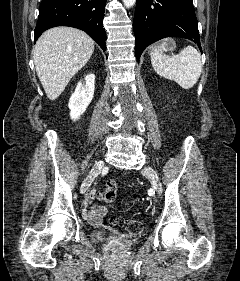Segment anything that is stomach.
<instances>
[{
    "mask_svg": "<svg viewBox=\"0 0 240 281\" xmlns=\"http://www.w3.org/2000/svg\"><path fill=\"white\" fill-rule=\"evenodd\" d=\"M168 50L167 51H173V49L175 48V42L172 39H168Z\"/></svg>",
    "mask_w": 240,
    "mask_h": 281,
    "instance_id": "1",
    "label": "stomach"
}]
</instances>
